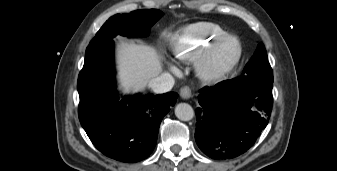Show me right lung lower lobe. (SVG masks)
Instances as JSON below:
<instances>
[{"instance_id": "obj_1", "label": "right lung lower lobe", "mask_w": 337, "mask_h": 171, "mask_svg": "<svg viewBox=\"0 0 337 171\" xmlns=\"http://www.w3.org/2000/svg\"><path fill=\"white\" fill-rule=\"evenodd\" d=\"M79 120L94 146L121 162H138L153 151L158 130L178 94L135 95L118 101L113 41H101L86 52L78 77Z\"/></svg>"}]
</instances>
